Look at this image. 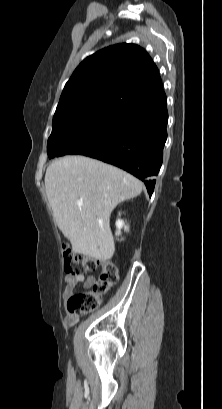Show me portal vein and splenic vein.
<instances>
[{"label": "portal vein and splenic vein", "mask_w": 222, "mask_h": 409, "mask_svg": "<svg viewBox=\"0 0 222 409\" xmlns=\"http://www.w3.org/2000/svg\"><path fill=\"white\" fill-rule=\"evenodd\" d=\"M77 205H78V206H82V205H83V201H82V200H78V201H77Z\"/></svg>", "instance_id": "18ae733b"}]
</instances>
